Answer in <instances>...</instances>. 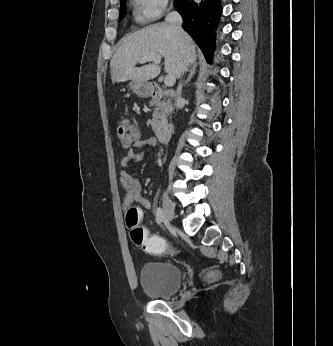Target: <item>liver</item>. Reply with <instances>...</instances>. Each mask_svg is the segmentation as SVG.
<instances>
[{
  "label": "liver",
  "instance_id": "obj_1",
  "mask_svg": "<svg viewBox=\"0 0 333 346\" xmlns=\"http://www.w3.org/2000/svg\"><path fill=\"white\" fill-rule=\"evenodd\" d=\"M149 55L162 56L166 73L177 78L184 63L188 66L197 59L195 43L188 34L179 35L168 23L150 25L124 38L110 62L112 82L156 78L160 73L157 64L136 67Z\"/></svg>",
  "mask_w": 333,
  "mask_h": 346
}]
</instances>
